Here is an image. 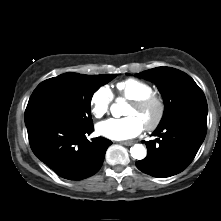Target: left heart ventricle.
<instances>
[{"instance_id": "obj_1", "label": "left heart ventricle", "mask_w": 221, "mask_h": 221, "mask_svg": "<svg viewBox=\"0 0 221 221\" xmlns=\"http://www.w3.org/2000/svg\"><path fill=\"white\" fill-rule=\"evenodd\" d=\"M156 112L157 110H156V107L154 106L144 108V109H138L132 105H129L125 112V115L137 117L141 121L143 126H145L153 121V119L156 116Z\"/></svg>"}]
</instances>
